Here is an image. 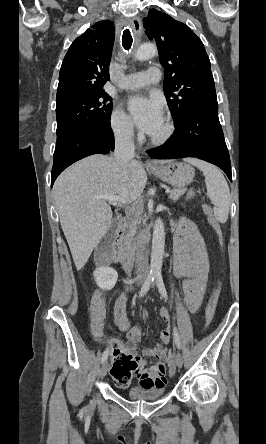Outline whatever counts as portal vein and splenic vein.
Wrapping results in <instances>:
<instances>
[{"mask_svg":"<svg viewBox=\"0 0 266 444\" xmlns=\"http://www.w3.org/2000/svg\"><path fill=\"white\" fill-rule=\"evenodd\" d=\"M171 191L170 190H166V193L169 194ZM97 198L100 199H104L110 203H121V204H126L128 201L120 196H116V195H102V196H98Z\"/></svg>","mask_w":266,"mask_h":444,"instance_id":"portal-vein-and-splenic-vein-1","label":"portal vein and splenic vein"}]
</instances>
